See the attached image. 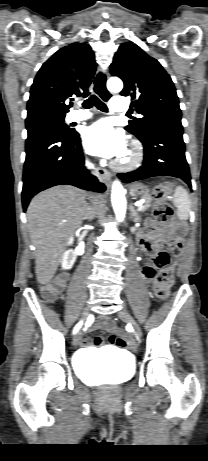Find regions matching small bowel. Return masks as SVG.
I'll list each match as a JSON object with an SVG mask.
<instances>
[{
	"instance_id": "small-bowel-1",
	"label": "small bowel",
	"mask_w": 208,
	"mask_h": 461,
	"mask_svg": "<svg viewBox=\"0 0 208 461\" xmlns=\"http://www.w3.org/2000/svg\"><path fill=\"white\" fill-rule=\"evenodd\" d=\"M174 231H175V226L174 225H159L156 227L155 223L150 220L147 222L145 226V231L143 234H141L138 238V242L140 246L150 255L153 257V260L155 257L162 252V245L163 244H168L172 242L174 238ZM178 234L180 233L179 231L177 232ZM156 266L154 265L153 261L150 263H147L144 268H143V276L146 279V281H150L153 276L155 275L156 271ZM67 278L66 274H61L59 275L58 279L61 281H65ZM95 328H101L105 329L108 331L113 330V324L109 319H103L99 323L96 324ZM106 341L108 343V349L109 351H117L118 353H121L123 351V348L120 346L121 344V338L120 336H116L114 332H110L106 338ZM102 343L101 338H94V339H89L85 338L82 340L81 345L82 346H88V345H100Z\"/></svg>"
}]
</instances>
